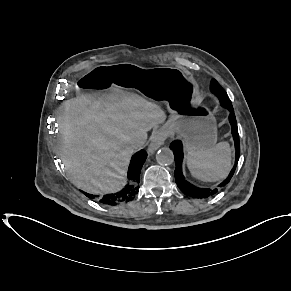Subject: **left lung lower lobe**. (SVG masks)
Here are the masks:
<instances>
[{"label":"left lung lower lobe","mask_w":291,"mask_h":291,"mask_svg":"<svg viewBox=\"0 0 291 291\" xmlns=\"http://www.w3.org/2000/svg\"><path fill=\"white\" fill-rule=\"evenodd\" d=\"M220 103L223 107L227 108L230 111L229 115V121L232 126V135L235 142V149H236V160L235 165L232 168L231 172L229 173L228 177L220 183L215 188H200L192 185L189 183L183 176L182 173V160H183V148L182 143L179 140L173 141L170 145V148L174 152L175 157V181L178 186V188L187 196L203 199L208 198L218 192V190L222 187H224L227 183H229L230 179L232 178L234 171L236 169V165L238 163L239 155H240V143H239V134H238V128H237V122L234 114V110L232 107V103L228 97L225 96H218Z\"/></svg>","instance_id":"0a47b994"}]
</instances>
